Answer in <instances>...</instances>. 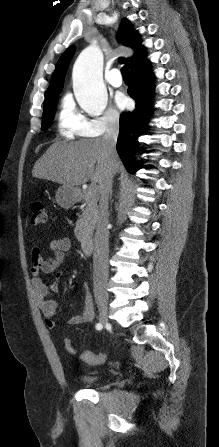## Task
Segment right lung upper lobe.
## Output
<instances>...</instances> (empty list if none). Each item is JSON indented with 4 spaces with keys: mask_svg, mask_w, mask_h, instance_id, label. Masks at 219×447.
Returning a JSON list of instances; mask_svg holds the SVG:
<instances>
[{
    "mask_svg": "<svg viewBox=\"0 0 219 447\" xmlns=\"http://www.w3.org/2000/svg\"><path fill=\"white\" fill-rule=\"evenodd\" d=\"M119 40L123 45L134 50L132 57L122 59V62H129L130 70L147 60L145 48L141 44L140 36L137 31H133V25L127 19H124L120 25ZM73 52L74 48L70 47L59 58L46 93V98L59 94L62 90L64 76Z\"/></svg>",
    "mask_w": 219,
    "mask_h": 447,
    "instance_id": "1",
    "label": "right lung upper lobe"
}]
</instances>
